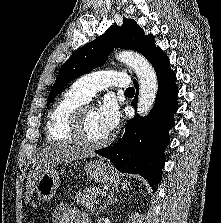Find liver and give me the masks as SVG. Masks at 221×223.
I'll return each instance as SVG.
<instances>
[{
  "instance_id": "liver-1",
  "label": "liver",
  "mask_w": 221,
  "mask_h": 223,
  "mask_svg": "<svg viewBox=\"0 0 221 223\" xmlns=\"http://www.w3.org/2000/svg\"><path fill=\"white\" fill-rule=\"evenodd\" d=\"M90 156H94L91 151L64 143L53 144L41 150L36 155L32 170L28 176L26 202L30 201L34 187L44 172L53 169V167L62 162L79 160Z\"/></svg>"
}]
</instances>
